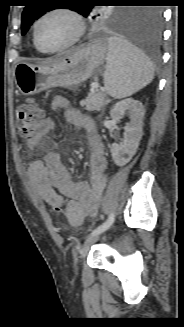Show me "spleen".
Instances as JSON below:
<instances>
[{
    "label": "spleen",
    "instance_id": "obj_1",
    "mask_svg": "<svg viewBox=\"0 0 184 327\" xmlns=\"http://www.w3.org/2000/svg\"><path fill=\"white\" fill-rule=\"evenodd\" d=\"M106 61L104 85L107 93L115 99L134 94L154 78V68L148 57L119 37L108 38Z\"/></svg>",
    "mask_w": 184,
    "mask_h": 327
}]
</instances>
